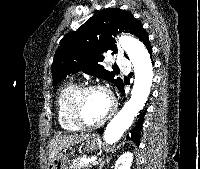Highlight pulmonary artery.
Masks as SVG:
<instances>
[{
  "instance_id": "1",
  "label": "pulmonary artery",
  "mask_w": 200,
  "mask_h": 169,
  "mask_svg": "<svg viewBox=\"0 0 200 169\" xmlns=\"http://www.w3.org/2000/svg\"><path fill=\"white\" fill-rule=\"evenodd\" d=\"M116 63L120 67H125L128 64V61L123 56L118 55L116 57Z\"/></svg>"
}]
</instances>
